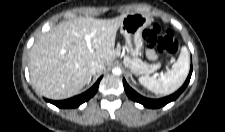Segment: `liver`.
<instances>
[{"label":"liver","instance_id":"obj_1","mask_svg":"<svg viewBox=\"0 0 225 132\" xmlns=\"http://www.w3.org/2000/svg\"><path fill=\"white\" fill-rule=\"evenodd\" d=\"M79 17L60 22L43 33L30 50L31 81L44 97L54 100L78 94L90 77L89 65L97 60L109 66L116 58V33L124 17ZM91 37L88 49L85 36Z\"/></svg>","mask_w":225,"mask_h":132}]
</instances>
